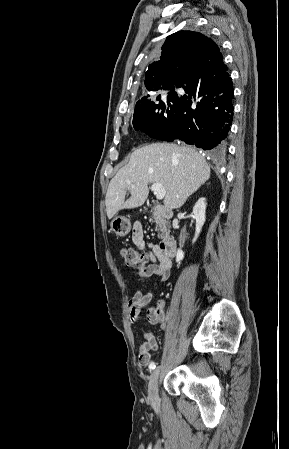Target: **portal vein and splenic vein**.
Masks as SVG:
<instances>
[{"instance_id":"18ae733b","label":"portal vein and splenic vein","mask_w":289,"mask_h":449,"mask_svg":"<svg viewBox=\"0 0 289 449\" xmlns=\"http://www.w3.org/2000/svg\"><path fill=\"white\" fill-rule=\"evenodd\" d=\"M151 190L154 192L158 200H162L166 194L165 188L160 183L152 184Z\"/></svg>"}]
</instances>
